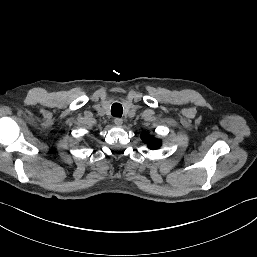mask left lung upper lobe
Instances as JSON below:
<instances>
[{"mask_svg":"<svg viewBox=\"0 0 257 257\" xmlns=\"http://www.w3.org/2000/svg\"><path fill=\"white\" fill-rule=\"evenodd\" d=\"M142 140L148 145L150 149H158L161 146V141L154 139L147 132H143L141 135Z\"/></svg>","mask_w":257,"mask_h":257,"instance_id":"obj_1","label":"left lung upper lobe"}]
</instances>
